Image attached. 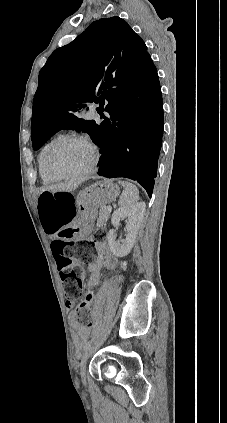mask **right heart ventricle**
<instances>
[{
    "mask_svg": "<svg viewBox=\"0 0 227 423\" xmlns=\"http://www.w3.org/2000/svg\"><path fill=\"white\" fill-rule=\"evenodd\" d=\"M63 135L61 134H57L54 137H52L49 141H47L42 148L40 149V152L38 154V158H37V164H38V171H39V175L42 179V182L44 184H53L57 181H59L60 178L54 176L53 174H51L46 166H45V154L46 151L50 148L51 145H53L56 141H58L60 138H62Z\"/></svg>",
    "mask_w": 227,
    "mask_h": 423,
    "instance_id": "1",
    "label": "right heart ventricle"
}]
</instances>
